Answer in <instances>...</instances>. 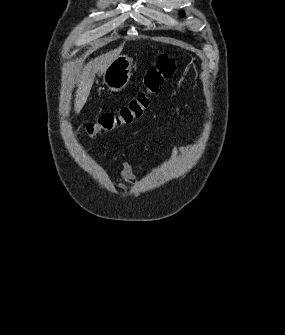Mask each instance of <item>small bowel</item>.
Here are the masks:
<instances>
[{
	"instance_id": "small-bowel-1",
	"label": "small bowel",
	"mask_w": 285,
	"mask_h": 335,
	"mask_svg": "<svg viewBox=\"0 0 285 335\" xmlns=\"http://www.w3.org/2000/svg\"><path fill=\"white\" fill-rule=\"evenodd\" d=\"M190 150L189 145H180V146H175L171 150V154L174 155L178 151L181 152H188ZM120 174L122 177V183L123 184H128V185H135L139 181V177L133 170V168L127 163V162H122L120 165Z\"/></svg>"
}]
</instances>
